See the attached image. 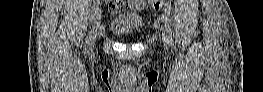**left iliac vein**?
<instances>
[{
  "instance_id": "left-iliac-vein-1",
  "label": "left iliac vein",
  "mask_w": 263,
  "mask_h": 92,
  "mask_svg": "<svg viewBox=\"0 0 263 92\" xmlns=\"http://www.w3.org/2000/svg\"><path fill=\"white\" fill-rule=\"evenodd\" d=\"M162 38H163V42H164L165 47L168 48L169 44H168L167 33L166 32H163Z\"/></svg>"
}]
</instances>
